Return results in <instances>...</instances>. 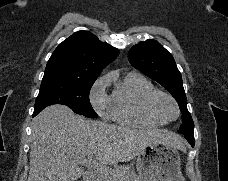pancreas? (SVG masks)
<instances>
[{
  "label": "pancreas",
  "mask_w": 228,
  "mask_h": 181,
  "mask_svg": "<svg viewBox=\"0 0 228 181\" xmlns=\"http://www.w3.org/2000/svg\"><path fill=\"white\" fill-rule=\"evenodd\" d=\"M112 175H117L115 179H104V177H112V175H97L96 181H140L139 175H136L132 167L129 165H123V167H115L111 171Z\"/></svg>",
  "instance_id": "1"
}]
</instances>
